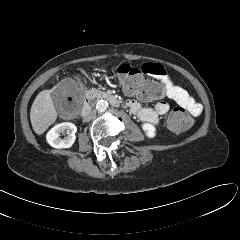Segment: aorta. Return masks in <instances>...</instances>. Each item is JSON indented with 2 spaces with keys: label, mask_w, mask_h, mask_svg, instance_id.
<instances>
[{
  "label": "aorta",
  "mask_w": 240,
  "mask_h": 240,
  "mask_svg": "<svg viewBox=\"0 0 240 240\" xmlns=\"http://www.w3.org/2000/svg\"><path fill=\"white\" fill-rule=\"evenodd\" d=\"M109 103L106 100H99L96 104V109L99 112H104L108 109Z\"/></svg>",
  "instance_id": "aorta-1"
}]
</instances>
